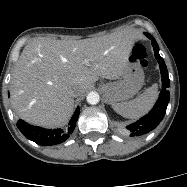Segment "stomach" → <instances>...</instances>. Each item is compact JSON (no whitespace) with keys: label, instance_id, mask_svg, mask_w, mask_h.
I'll return each mask as SVG.
<instances>
[{"label":"stomach","instance_id":"1","mask_svg":"<svg viewBox=\"0 0 187 187\" xmlns=\"http://www.w3.org/2000/svg\"><path fill=\"white\" fill-rule=\"evenodd\" d=\"M144 83V71L137 61H129L127 68L115 82L101 86L104 99L109 104L132 98Z\"/></svg>","mask_w":187,"mask_h":187}]
</instances>
